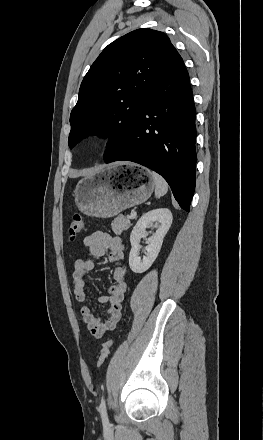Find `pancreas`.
<instances>
[{
	"mask_svg": "<svg viewBox=\"0 0 263 440\" xmlns=\"http://www.w3.org/2000/svg\"><path fill=\"white\" fill-rule=\"evenodd\" d=\"M130 226L129 218L123 215H119L111 223L112 230L116 235H120L124 230L129 229Z\"/></svg>",
	"mask_w": 263,
	"mask_h": 440,
	"instance_id": "pancreas-1",
	"label": "pancreas"
}]
</instances>
